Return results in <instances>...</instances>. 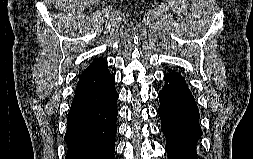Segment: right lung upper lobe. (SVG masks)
Returning a JSON list of instances; mask_svg holds the SVG:
<instances>
[{
  "label": "right lung upper lobe",
  "mask_w": 253,
  "mask_h": 159,
  "mask_svg": "<svg viewBox=\"0 0 253 159\" xmlns=\"http://www.w3.org/2000/svg\"><path fill=\"white\" fill-rule=\"evenodd\" d=\"M106 64H107V61L105 59L97 58L89 65V67L86 70H84L81 76L91 73L93 71H96L100 69L101 67L105 66Z\"/></svg>",
  "instance_id": "cb5924a9"
}]
</instances>
